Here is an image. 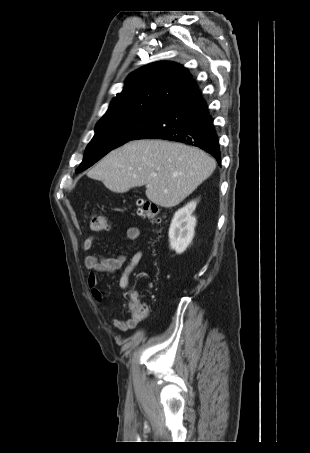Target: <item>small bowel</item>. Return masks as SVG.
<instances>
[{"mask_svg":"<svg viewBox=\"0 0 310 453\" xmlns=\"http://www.w3.org/2000/svg\"><path fill=\"white\" fill-rule=\"evenodd\" d=\"M140 236L141 230L138 227H129L126 231V237L131 242H137ZM96 241L97 236H90L81 242V247L84 250H89L94 246ZM142 257L143 251L138 247L127 263L124 255H118L116 257H103L95 254L86 256L84 258V264L89 270L87 285L94 301L100 303L103 300V294L98 287L99 273L115 274L121 271L118 283L122 290H127L129 288L130 275L140 263ZM142 319L130 315L127 319L114 318L112 324L119 331L125 332L134 329Z\"/></svg>","mask_w":310,"mask_h":453,"instance_id":"small-bowel-1","label":"small bowel"}]
</instances>
